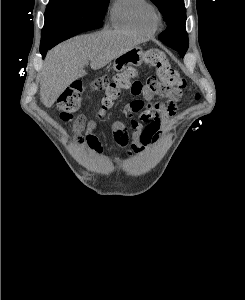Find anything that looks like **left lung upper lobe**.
I'll use <instances>...</instances> for the list:
<instances>
[{
    "label": "left lung upper lobe",
    "mask_w": 245,
    "mask_h": 300,
    "mask_svg": "<svg viewBox=\"0 0 245 300\" xmlns=\"http://www.w3.org/2000/svg\"><path fill=\"white\" fill-rule=\"evenodd\" d=\"M162 13L167 28L159 35V39L167 46L182 52L188 49V35L185 30L186 9L184 0H151Z\"/></svg>",
    "instance_id": "left-lung-upper-lobe-1"
}]
</instances>
